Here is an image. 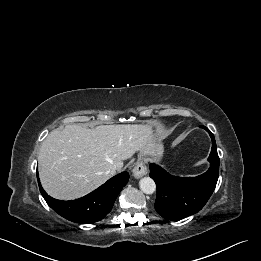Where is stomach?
<instances>
[{"label": "stomach", "mask_w": 261, "mask_h": 261, "mask_svg": "<svg viewBox=\"0 0 261 261\" xmlns=\"http://www.w3.org/2000/svg\"><path fill=\"white\" fill-rule=\"evenodd\" d=\"M163 152H164V148H163V145L161 144L160 140L157 138L151 137L149 146L145 150L141 151L140 157H143L145 155H150L154 159H160L163 155Z\"/></svg>", "instance_id": "1"}]
</instances>
